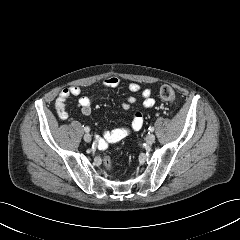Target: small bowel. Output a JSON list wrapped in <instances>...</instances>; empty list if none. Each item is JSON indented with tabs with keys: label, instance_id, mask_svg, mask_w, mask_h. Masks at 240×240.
<instances>
[{
	"label": "small bowel",
	"instance_id": "c3829d8e",
	"mask_svg": "<svg viewBox=\"0 0 240 240\" xmlns=\"http://www.w3.org/2000/svg\"><path fill=\"white\" fill-rule=\"evenodd\" d=\"M120 85V80L117 77L110 76L104 79L102 83L103 90L108 91L114 88H117ZM131 92H139L141 90L140 85L132 82L128 86ZM82 92V89L79 86H71L63 89L56 101H55V109L58 116L61 119L68 118V112L66 109L65 102L71 96H79ZM141 96L143 98V107L151 108L155 104V100L151 96V90L149 88H145L141 90ZM94 101V97L91 96H83L79 99V104L81 106V112L85 116H89L92 112V104ZM136 103V98L133 96L127 97L123 103L122 107L125 110H130L131 106ZM144 125V116L141 111L135 112L131 123L125 127H119L110 131L103 132L100 136H97L98 145L101 148L107 147L108 144L116 143L121 141L122 139L128 137L129 135L138 132L142 129Z\"/></svg>",
	"mask_w": 240,
	"mask_h": 240
}]
</instances>
